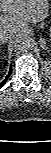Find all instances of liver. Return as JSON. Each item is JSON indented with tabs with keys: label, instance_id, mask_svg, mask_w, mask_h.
<instances>
[{
	"label": "liver",
	"instance_id": "obj_1",
	"mask_svg": "<svg viewBox=\"0 0 51 153\" xmlns=\"http://www.w3.org/2000/svg\"><path fill=\"white\" fill-rule=\"evenodd\" d=\"M0 33L24 32L30 23L43 21L49 13V0H0Z\"/></svg>",
	"mask_w": 51,
	"mask_h": 153
}]
</instances>
